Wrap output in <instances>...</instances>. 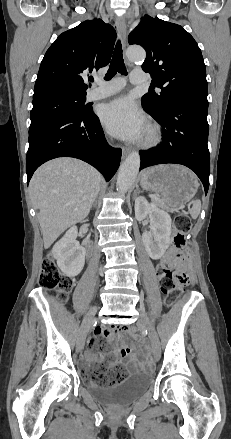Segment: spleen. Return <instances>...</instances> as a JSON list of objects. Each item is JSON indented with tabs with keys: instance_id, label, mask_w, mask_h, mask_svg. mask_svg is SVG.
<instances>
[{
	"instance_id": "obj_1",
	"label": "spleen",
	"mask_w": 231,
	"mask_h": 439,
	"mask_svg": "<svg viewBox=\"0 0 231 439\" xmlns=\"http://www.w3.org/2000/svg\"><path fill=\"white\" fill-rule=\"evenodd\" d=\"M200 210H201V202H200V200H195L193 202V206H192V208L190 210L191 217L193 219H196L199 216V214H200Z\"/></svg>"
}]
</instances>
